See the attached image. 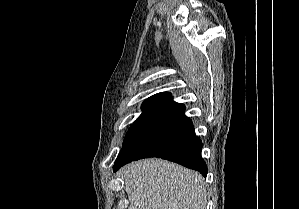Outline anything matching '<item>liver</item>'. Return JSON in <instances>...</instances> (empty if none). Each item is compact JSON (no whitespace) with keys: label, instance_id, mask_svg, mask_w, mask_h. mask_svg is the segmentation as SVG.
I'll use <instances>...</instances> for the list:
<instances>
[{"label":"liver","instance_id":"obj_1","mask_svg":"<svg viewBox=\"0 0 299 209\" xmlns=\"http://www.w3.org/2000/svg\"><path fill=\"white\" fill-rule=\"evenodd\" d=\"M128 209H205L204 178L180 165L151 158L122 170Z\"/></svg>","mask_w":299,"mask_h":209}]
</instances>
